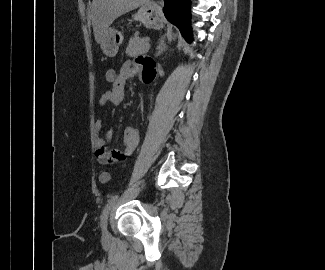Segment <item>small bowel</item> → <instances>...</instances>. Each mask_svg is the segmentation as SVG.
Wrapping results in <instances>:
<instances>
[{
    "label": "small bowel",
    "instance_id": "c3829d8e",
    "mask_svg": "<svg viewBox=\"0 0 325 270\" xmlns=\"http://www.w3.org/2000/svg\"><path fill=\"white\" fill-rule=\"evenodd\" d=\"M140 73L142 79L146 82L152 81L157 74V66L153 58L141 55L136 58L135 68L130 61H126L117 72L119 77V82L117 87H111L110 90L104 92L100 98V105L104 106L111 104L113 106L121 105L125 100V84L127 80L133 78L136 71ZM102 119L98 118L93 126L95 133V156L99 163L105 164L108 162H118L125 160L129 157L135 150L139 134L138 130L133 126H127L123 131V150H107L105 147L106 141L112 136V130L108 129L105 136H101L102 130Z\"/></svg>",
    "mask_w": 325,
    "mask_h": 270
}]
</instances>
